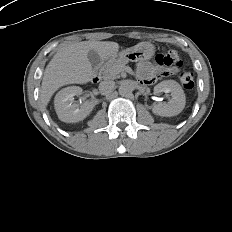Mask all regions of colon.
Returning <instances> with one entry per match:
<instances>
[{"label":"colon","mask_w":232,"mask_h":232,"mask_svg":"<svg viewBox=\"0 0 232 232\" xmlns=\"http://www.w3.org/2000/svg\"><path fill=\"white\" fill-rule=\"evenodd\" d=\"M155 61L158 66L172 67L178 70L183 65L182 58L176 50H168L158 54ZM179 79L186 89H192L194 87V78L191 72L182 71L179 74Z\"/></svg>","instance_id":"5ec220e1"}]
</instances>
